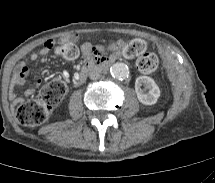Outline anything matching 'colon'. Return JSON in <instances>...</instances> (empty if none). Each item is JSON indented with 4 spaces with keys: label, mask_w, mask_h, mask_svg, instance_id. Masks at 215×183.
<instances>
[{
    "label": "colon",
    "mask_w": 215,
    "mask_h": 183,
    "mask_svg": "<svg viewBox=\"0 0 215 183\" xmlns=\"http://www.w3.org/2000/svg\"><path fill=\"white\" fill-rule=\"evenodd\" d=\"M110 49L121 53L129 59L137 58V67L142 73H152L157 70L159 61L155 54L146 53L147 44L144 40L135 38L127 42L115 41ZM93 53H98L96 46H91ZM56 56L68 60L77 58L79 48L71 41L63 42L54 49ZM67 86L62 80H54L42 87L39 94L28 101L19 104L15 110L17 121L26 127H36L43 124L52 115L54 109L64 97Z\"/></svg>",
    "instance_id": "1"
}]
</instances>
